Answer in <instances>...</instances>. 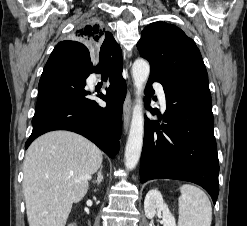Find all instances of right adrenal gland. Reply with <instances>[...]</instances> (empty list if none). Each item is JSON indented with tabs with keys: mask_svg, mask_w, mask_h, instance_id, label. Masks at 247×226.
<instances>
[{
	"mask_svg": "<svg viewBox=\"0 0 247 226\" xmlns=\"http://www.w3.org/2000/svg\"><path fill=\"white\" fill-rule=\"evenodd\" d=\"M102 169H103V166L101 165V166H100V169H99V171H98V174H97V178L93 181V182L96 183L97 185H100L101 182L103 181Z\"/></svg>",
	"mask_w": 247,
	"mask_h": 226,
	"instance_id": "1",
	"label": "right adrenal gland"
}]
</instances>
